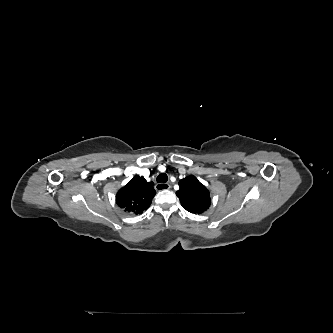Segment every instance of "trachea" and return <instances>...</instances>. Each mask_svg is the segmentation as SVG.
Wrapping results in <instances>:
<instances>
[{
	"label": "trachea",
	"instance_id": "3493384b",
	"mask_svg": "<svg viewBox=\"0 0 333 333\" xmlns=\"http://www.w3.org/2000/svg\"><path fill=\"white\" fill-rule=\"evenodd\" d=\"M168 180V176L165 173H161L157 176V182L165 183Z\"/></svg>",
	"mask_w": 333,
	"mask_h": 333
}]
</instances>
